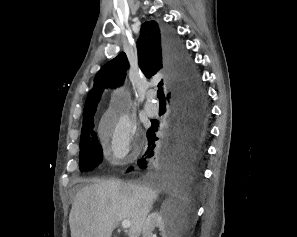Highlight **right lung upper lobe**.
<instances>
[{
	"instance_id": "cb5924a9",
	"label": "right lung upper lobe",
	"mask_w": 297,
	"mask_h": 237,
	"mask_svg": "<svg viewBox=\"0 0 297 237\" xmlns=\"http://www.w3.org/2000/svg\"><path fill=\"white\" fill-rule=\"evenodd\" d=\"M138 64L146 77L156 74L160 69L167 72L166 81L172 85V75L168 68L163 45L162 27L155 21L145 22L137 41ZM128 61L122 52L109 61L94 78V86L89 92L83 114V128L93 125V116L104 88L122 85L125 79ZM163 84V80L159 85Z\"/></svg>"
}]
</instances>
